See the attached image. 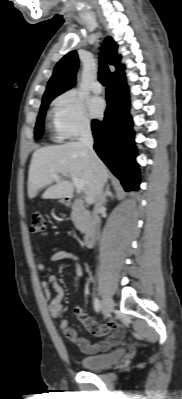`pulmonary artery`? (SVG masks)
<instances>
[{
	"mask_svg": "<svg viewBox=\"0 0 182 399\" xmlns=\"http://www.w3.org/2000/svg\"><path fill=\"white\" fill-rule=\"evenodd\" d=\"M91 89H92V91H93L95 94H100V93L103 91V87H102L101 83L98 82V81H96V82H94V83L92 84Z\"/></svg>",
	"mask_w": 182,
	"mask_h": 399,
	"instance_id": "pulmonary-artery-1",
	"label": "pulmonary artery"
}]
</instances>
